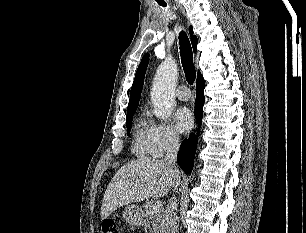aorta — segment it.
I'll return each instance as SVG.
<instances>
[{
	"label": "aorta",
	"instance_id": "aorta-1",
	"mask_svg": "<svg viewBox=\"0 0 306 233\" xmlns=\"http://www.w3.org/2000/svg\"><path fill=\"white\" fill-rule=\"evenodd\" d=\"M178 77L177 63L172 58L165 59L158 67L151 91L154 113L157 117L168 118L175 106V88Z\"/></svg>",
	"mask_w": 306,
	"mask_h": 233
}]
</instances>
